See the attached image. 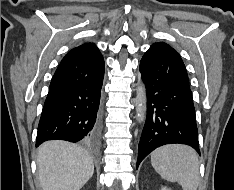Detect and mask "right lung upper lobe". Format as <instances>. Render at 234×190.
<instances>
[{
	"label": "right lung upper lobe",
	"instance_id": "right-lung-upper-lobe-1",
	"mask_svg": "<svg viewBox=\"0 0 234 190\" xmlns=\"http://www.w3.org/2000/svg\"><path fill=\"white\" fill-rule=\"evenodd\" d=\"M92 45H94L93 43H84V44H82V45H80V46H78V47H82V46H92ZM77 48V47H76Z\"/></svg>",
	"mask_w": 234,
	"mask_h": 190
}]
</instances>
